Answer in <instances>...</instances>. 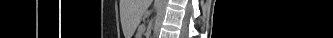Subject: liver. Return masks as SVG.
<instances>
[{"instance_id":"1","label":"liver","mask_w":333,"mask_h":38,"mask_svg":"<svg viewBox=\"0 0 333 38\" xmlns=\"http://www.w3.org/2000/svg\"><path fill=\"white\" fill-rule=\"evenodd\" d=\"M151 2H152V0H135V2H133V24H134V26L139 24L143 13L149 7Z\"/></svg>"}]
</instances>
